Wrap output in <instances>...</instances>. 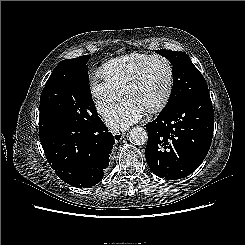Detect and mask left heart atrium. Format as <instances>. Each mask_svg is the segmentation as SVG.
I'll list each match as a JSON object with an SVG mask.
<instances>
[{"mask_svg":"<svg viewBox=\"0 0 245 245\" xmlns=\"http://www.w3.org/2000/svg\"><path fill=\"white\" fill-rule=\"evenodd\" d=\"M146 113V109L134 99L126 97L121 103L112 107L105 115L108 126L122 130L137 122Z\"/></svg>","mask_w":245,"mask_h":245,"instance_id":"39dd6f15","label":"left heart atrium"}]
</instances>
